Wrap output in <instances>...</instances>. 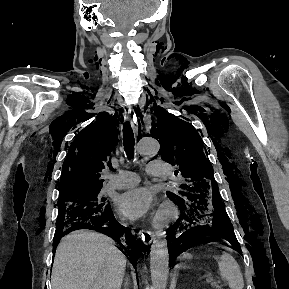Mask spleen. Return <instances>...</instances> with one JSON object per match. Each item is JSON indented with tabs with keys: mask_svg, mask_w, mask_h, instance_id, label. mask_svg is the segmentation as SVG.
Segmentation results:
<instances>
[{
	"mask_svg": "<svg viewBox=\"0 0 289 289\" xmlns=\"http://www.w3.org/2000/svg\"><path fill=\"white\" fill-rule=\"evenodd\" d=\"M218 268L221 278L230 289H243L244 280L239 264L229 253H222L218 260Z\"/></svg>",
	"mask_w": 289,
	"mask_h": 289,
	"instance_id": "spleen-1",
	"label": "spleen"
}]
</instances>
